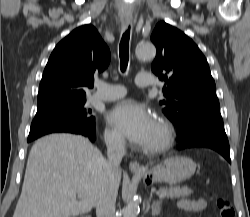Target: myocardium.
I'll use <instances>...</instances> for the list:
<instances>
[{"mask_svg": "<svg viewBox=\"0 0 250 217\" xmlns=\"http://www.w3.org/2000/svg\"><path fill=\"white\" fill-rule=\"evenodd\" d=\"M156 122L161 130V139L155 145L144 148V151L151 155L165 152L171 147L174 140V129L170 121L162 116H158Z\"/></svg>", "mask_w": 250, "mask_h": 217, "instance_id": "obj_1", "label": "myocardium"}]
</instances>
